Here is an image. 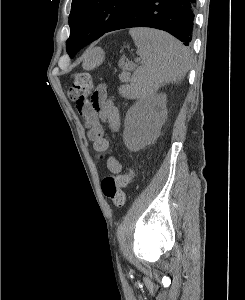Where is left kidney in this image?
Masks as SVG:
<instances>
[{
  "label": "left kidney",
  "mask_w": 245,
  "mask_h": 300,
  "mask_svg": "<svg viewBox=\"0 0 245 300\" xmlns=\"http://www.w3.org/2000/svg\"><path fill=\"white\" fill-rule=\"evenodd\" d=\"M166 97L157 95L133 105L126 114L123 139L132 151H137L158 134L166 117Z\"/></svg>",
  "instance_id": "1"
}]
</instances>
